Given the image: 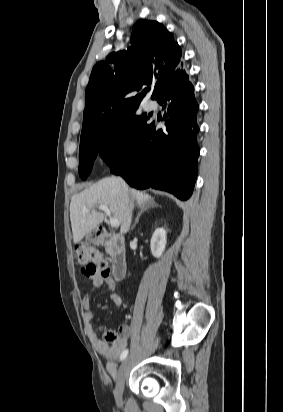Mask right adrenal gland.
<instances>
[{"instance_id": "obj_1", "label": "right adrenal gland", "mask_w": 283, "mask_h": 412, "mask_svg": "<svg viewBox=\"0 0 283 412\" xmlns=\"http://www.w3.org/2000/svg\"><path fill=\"white\" fill-rule=\"evenodd\" d=\"M154 206H156V204H155L154 202H152L151 205L147 204V205H143L142 207H140V211H139L138 214H137V217H136L135 222H134V224H133V226H132V229L138 224L141 215H142L145 211H147L149 208L154 207Z\"/></svg>"}]
</instances>
